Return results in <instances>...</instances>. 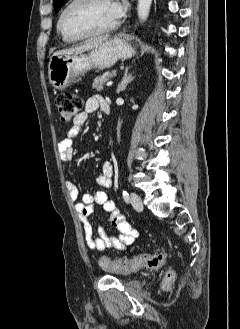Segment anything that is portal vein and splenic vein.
<instances>
[{
  "label": "portal vein and splenic vein",
  "mask_w": 240,
  "mask_h": 329,
  "mask_svg": "<svg viewBox=\"0 0 240 329\" xmlns=\"http://www.w3.org/2000/svg\"><path fill=\"white\" fill-rule=\"evenodd\" d=\"M113 84L112 81L107 82V86L110 87Z\"/></svg>",
  "instance_id": "portal-vein-and-splenic-vein-1"
}]
</instances>
